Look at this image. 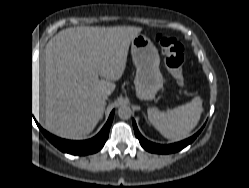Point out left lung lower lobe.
I'll return each instance as SVG.
<instances>
[{
	"label": "left lung lower lobe",
	"instance_id": "0a47b994",
	"mask_svg": "<svg viewBox=\"0 0 249 188\" xmlns=\"http://www.w3.org/2000/svg\"><path fill=\"white\" fill-rule=\"evenodd\" d=\"M133 127H134L135 136L139 139L141 146L145 150L152 152V153H161V154L174 153V152L182 150L184 147H186L187 145L192 143L202 130V129L199 130L194 136H192L184 141L170 144V145H160V144L152 143V142L146 140L140 134L134 120H133Z\"/></svg>",
	"mask_w": 249,
	"mask_h": 188
}]
</instances>
